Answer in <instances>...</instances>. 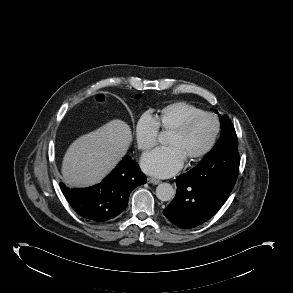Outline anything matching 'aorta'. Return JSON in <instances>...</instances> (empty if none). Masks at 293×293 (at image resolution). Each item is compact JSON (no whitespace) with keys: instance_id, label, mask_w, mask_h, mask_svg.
<instances>
[{"instance_id":"762f6f07","label":"aorta","mask_w":293,"mask_h":293,"mask_svg":"<svg viewBox=\"0 0 293 293\" xmlns=\"http://www.w3.org/2000/svg\"><path fill=\"white\" fill-rule=\"evenodd\" d=\"M175 190L169 183H161L156 188V196L161 201H170L174 198Z\"/></svg>"}]
</instances>
